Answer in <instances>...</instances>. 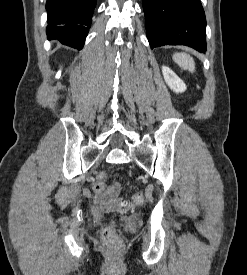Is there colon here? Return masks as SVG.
<instances>
[{"instance_id":"1","label":"colon","mask_w":247,"mask_h":275,"mask_svg":"<svg viewBox=\"0 0 247 275\" xmlns=\"http://www.w3.org/2000/svg\"><path fill=\"white\" fill-rule=\"evenodd\" d=\"M107 178L106 172H101L97 176V182L95 184V188L99 191L105 189V180ZM145 197L142 191L136 192L132 196V200L129 204L130 208H135L141 206L144 203ZM102 239L106 246L115 248L119 245V238L117 235L116 226L114 224H110L106 226L102 231Z\"/></svg>"}]
</instances>
